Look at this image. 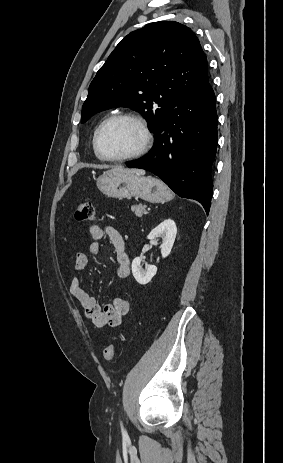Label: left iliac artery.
<instances>
[{"mask_svg":"<svg viewBox=\"0 0 283 463\" xmlns=\"http://www.w3.org/2000/svg\"><path fill=\"white\" fill-rule=\"evenodd\" d=\"M120 424H121L122 434H123L124 437H126V436H127V432H126V430L124 429L122 422H120Z\"/></svg>","mask_w":283,"mask_h":463,"instance_id":"44dca946","label":"left iliac artery"}]
</instances>
